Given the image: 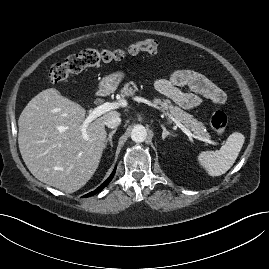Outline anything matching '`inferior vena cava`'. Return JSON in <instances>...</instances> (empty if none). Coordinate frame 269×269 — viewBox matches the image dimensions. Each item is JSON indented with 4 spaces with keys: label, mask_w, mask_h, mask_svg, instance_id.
<instances>
[{
    "label": "inferior vena cava",
    "mask_w": 269,
    "mask_h": 269,
    "mask_svg": "<svg viewBox=\"0 0 269 269\" xmlns=\"http://www.w3.org/2000/svg\"><path fill=\"white\" fill-rule=\"evenodd\" d=\"M120 123H121V118L119 117V115L112 116L106 121V126L108 128L113 129V128L118 127L120 125Z\"/></svg>",
    "instance_id": "inferior-vena-cava-1"
}]
</instances>
